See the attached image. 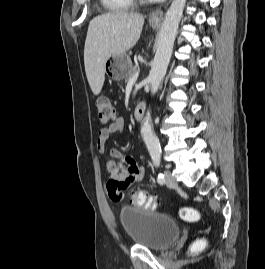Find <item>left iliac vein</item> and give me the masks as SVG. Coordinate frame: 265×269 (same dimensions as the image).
Segmentation results:
<instances>
[{"instance_id": "left-iliac-vein-1", "label": "left iliac vein", "mask_w": 265, "mask_h": 269, "mask_svg": "<svg viewBox=\"0 0 265 269\" xmlns=\"http://www.w3.org/2000/svg\"><path fill=\"white\" fill-rule=\"evenodd\" d=\"M165 178H166V185L169 188H174L177 186V182L175 178L173 177L172 173L169 170H166L164 172Z\"/></svg>"}]
</instances>
